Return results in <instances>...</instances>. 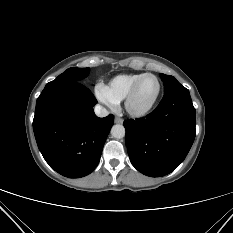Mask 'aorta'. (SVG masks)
<instances>
[{
	"mask_svg": "<svg viewBox=\"0 0 233 233\" xmlns=\"http://www.w3.org/2000/svg\"><path fill=\"white\" fill-rule=\"evenodd\" d=\"M111 135L112 137L116 139H121L125 136V128L123 125L116 124L111 129Z\"/></svg>",
	"mask_w": 233,
	"mask_h": 233,
	"instance_id": "aorta-1",
	"label": "aorta"
}]
</instances>
